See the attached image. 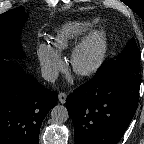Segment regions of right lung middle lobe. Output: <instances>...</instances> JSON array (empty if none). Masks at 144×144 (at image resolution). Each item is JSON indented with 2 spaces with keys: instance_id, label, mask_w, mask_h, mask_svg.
Returning <instances> with one entry per match:
<instances>
[{
  "instance_id": "dd1d6c3e",
  "label": "right lung middle lobe",
  "mask_w": 144,
  "mask_h": 144,
  "mask_svg": "<svg viewBox=\"0 0 144 144\" xmlns=\"http://www.w3.org/2000/svg\"><path fill=\"white\" fill-rule=\"evenodd\" d=\"M27 18L28 15L22 7L0 15V59L22 58L19 35Z\"/></svg>"
}]
</instances>
